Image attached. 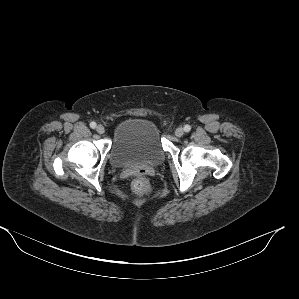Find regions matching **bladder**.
Returning a JSON list of instances; mask_svg holds the SVG:
<instances>
[{
    "label": "bladder",
    "mask_w": 299,
    "mask_h": 299,
    "mask_svg": "<svg viewBox=\"0 0 299 299\" xmlns=\"http://www.w3.org/2000/svg\"><path fill=\"white\" fill-rule=\"evenodd\" d=\"M164 157L160 131L152 120L131 117L116 126L109 150V162L112 166H153L160 164Z\"/></svg>",
    "instance_id": "31cf9c89"
}]
</instances>
